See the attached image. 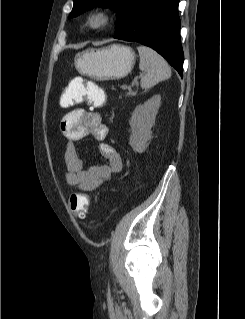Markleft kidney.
I'll return each mask as SVG.
<instances>
[{
    "label": "left kidney",
    "instance_id": "left-kidney-1",
    "mask_svg": "<svg viewBox=\"0 0 245 319\" xmlns=\"http://www.w3.org/2000/svg\"><path fill=\"white\" fill-rule=\"evenodd\" d=\"M161 105V96L154 95L144 104L135 108L130 119L131 135L129 144L134 151L143 153L151 139V128Z\"/></svg>",
    "mask_w": 245,
    "mask_h": 319
}]
</instances>
